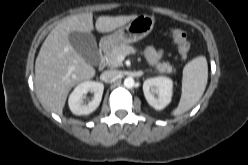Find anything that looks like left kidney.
Returning a JSON list of instances; mask_svg holds the SVG:
<instances>
[{"instance_id": "obj_1", "label": "left kidney", "mask_w": 248, "mask_h": 165, "mask_svg": "<svg viewBox=\"0 0 248 165\" xmlns=\"http://www.w3.org/2000/svg\"><path fill=\"white\" fill-rule=\"evenodd\" d=\"M173 82L165 76L149 78L143 83L144 96L156 110L164 109L171 101Z\"/></svg>"}]
</instances>
